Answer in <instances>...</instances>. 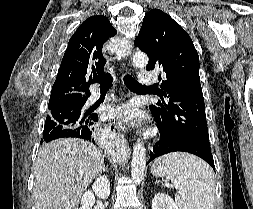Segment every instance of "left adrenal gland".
Instances as JSON below:
<instances>
[{"label": "left adrenal gland", "mask_w": 253, "mask_h": 209, "mask_svg": "<svg viewBox=\"0 0 253 209\" xmlns=\"http://www.w3.org/2000/svg\"><path fill=\"white\" fill-rule=\"evenodd\" d=\"M159 183V181H156V183L155 184H158Z\"/></svg>", "instance_id": "left-adrenal-gland-1"}]
</instances>
